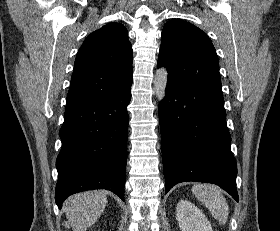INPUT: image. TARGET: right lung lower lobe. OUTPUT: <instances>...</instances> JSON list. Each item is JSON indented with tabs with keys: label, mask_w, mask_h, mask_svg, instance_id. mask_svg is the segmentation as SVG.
<instances>
[{
	"label": "right lung lower lobe",
	"mask_w": 280,
	"mask_h": 231,
	"mask_svg": "<svg viewBox=\"0 0 280 231\" xmlns=\"http://www.w3.org/2000/svg\"><path fill=\"white\" fill-rule=\"evenodd\" d=\"M130 99L131 88L66 108L56 161L59 208L71 194L92 189L110 190L124 201Z\"/></svg>",
	"instance_id": "98d812e1"
}]
</instances>
